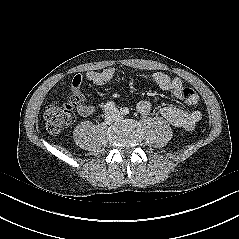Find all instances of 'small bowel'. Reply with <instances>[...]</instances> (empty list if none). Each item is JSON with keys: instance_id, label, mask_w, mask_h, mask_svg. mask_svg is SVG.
<instances>
[{"instance_id": "small-bowel-1", "label": "small bowel", "mask_w": 239, "mask_h": 239, "mask_svg": "<svg viewBox=\"0 0 239 239\" xmlns=\"http://www.w3.org/2000/svg\"><path fill=\"white\" fill-rule=\"evenodd\" d=\"M116 69L113 67L105 68L101 71H88L84 75H76L72 80L71 94L77 99V111L82 116H91L95 112V107L86 102L84 94L81 92L83 80H87L95 85H104L114 78ZM154 83L162 90L170 91L175 97L182 98L184 84L179 77H170L164 72H155L152 75ZM152 105L147 100H141L137 104V110L142 115L150 113ZM161 115L173 126L184 130H192L201 119V112L194 110L187 112L174 105H167L161 108Z\"/></svg>"}]
</instances>
